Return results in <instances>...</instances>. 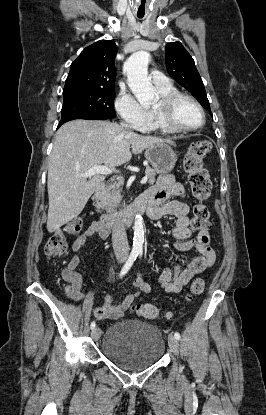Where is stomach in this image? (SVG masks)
I'll return each instance as SVG.
<instances>
[{
  "label": "stomach",
  "instance_id": "stomach-1",
  "mask_svg": "<svg viewBox=\"0 0 266 415\" xmlns=\"http://www.w3.org/2000/svg\"><path fill=\"white\" fill-rule=\"evenodd\" d=\"M145 157L159 174L173 170L177 155L168 143H155L146 148Z\"/></svg>",
  "mask_w": 266,
  "mask_h": 415
}]
</instances>
